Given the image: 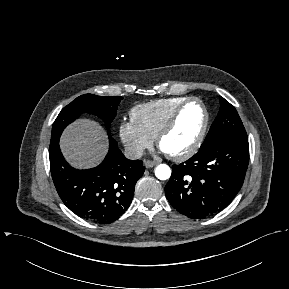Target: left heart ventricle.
Listing matches in <instances>:
<instances>
[{"mask_svg":"<svg viewBox=\"0 0 289 289\" xmlns=\"http://www.w3.org/2000/svg\"><path fill=\"white\" fill-rule=\"evenodd\" d=\"M204 121V113L197 102L189 103L181 112L173 130L163 139L161 149L166 153H180L196 140Z\"/></svg>","mask_w":289,"mask_h":289,"instance_id":"b2bd125f","label":"left heart ventricle"}]
</instances>
